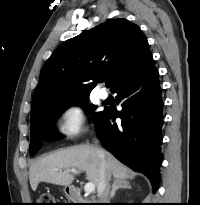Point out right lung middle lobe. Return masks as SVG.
Segmentation results:
<instances>
[{
    "mask_svg": "<svg viewBox=\"0 0 200 205\" xmlns=\"http://www.w3.org/2000/svg\"><path fill=\"white\" fill-rule=\"evenodd\" d=\"M89 96L67 98L46 103L40 110V113L31 119L30 132V154L35 155L42 146V141L47 138L48 141H56L63 138V136L56 134L53 131V124L58 115L70 105H79L84 109L87 107ZM94 108H96L94 106ZM102 112L95 115L96 121L101 116Z\"/></svg>",
    "mask_w": 200,
    "mask_h": 205,
    "instance_id": "obj_1",
    "label": "right lung middle lobe"
}]
</instances>
